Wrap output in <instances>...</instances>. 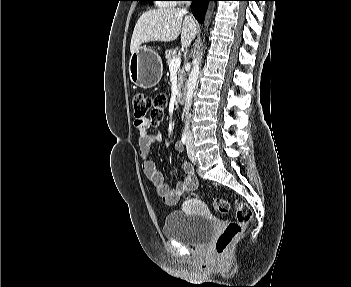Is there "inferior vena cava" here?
<instances>
[{"label": "inferior vena cava", "mask_w": 351, "mask_h": 287, "mask_svg": "<svg viewBox=\"0 0 351 287\" xmlns=\"http://www.w3.org/2000/svg\"><path fill=\"white\" fill-rule=\"evenodd\" d=\"M188 5H189V2H188ZM187 129H188V124H187ZM187 137L192 138V133L190 130H187Z\"/></svg>", "instance_id": "1"}]
</instances>
